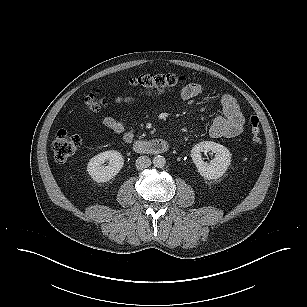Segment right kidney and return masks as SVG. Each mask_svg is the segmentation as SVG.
Listing matches in <instances>:
<instances>
[{"instance_id": "right-kidney-1", "label": "right kidney", "mask_w": 307, "mask_h": 307, "mask_svg": "<svg viewBox=\"0 0 307 307\" xmlns=\"http://www.w3.org/2000/svg\"><path fill=\"white\" fill-rule=\"evenodd\" d=\"M105 161H109L107 166L103 165ZM123 165L124 159L121 153L109 150L91 158L87 165V171L94 181L102 183L113 179L120 172Z\"/></svg>"}]
</instances>
